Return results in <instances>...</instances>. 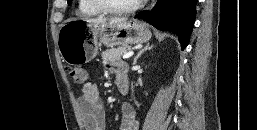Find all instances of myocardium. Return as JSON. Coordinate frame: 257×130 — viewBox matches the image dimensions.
<instances>
[{
	"instance_id": "f54148a6",
	"label": "myocardium",
	"mask_w": 257,
	"mask_h": 130,
	"mask_svg": "<svg viewBox=\"0 0 257 130\" xmlns=\"http://www.w3.org/2000/svg\"><path fill=\"white\" fill-rule=\"evenodd\" d=\"M145 1L146 0H138L132 6H129L126 8H117V7L108 5L107 3H105L104 0H89L90 4L98 11L103 13H108V14H117V15L133 13L137 11Z\"/></svg>"
}]
</instances>
